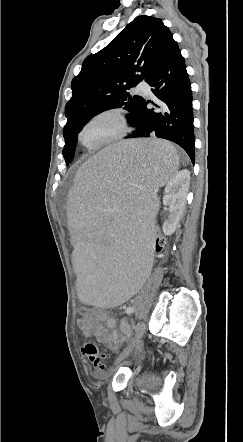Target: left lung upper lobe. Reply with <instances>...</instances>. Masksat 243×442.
<instances>
[{
    "label": "left lung upper lobe",
    "instance_id": "5c2ea615",
    "mask_svg": "<svg viewBox=\"0 0 243 442\" xmlns=\"http://www.w3.org/2000/svg\"><path fill=\"white\" fill-rule=\"evenodd\" d=\"M169 34L161 19L137 16L105 48L84 60L65 106L66 163L73 160L77 135L93 116L121 107L131 112L128 122L137 114L144 98L128 91L145 79Z\"/></svg>",
    "mask_w": 243,
    "mask_h": 442
}]
</instances>
